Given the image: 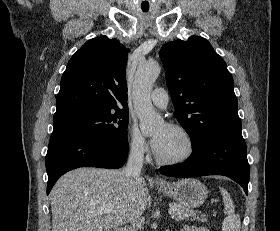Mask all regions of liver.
<instances>
[{
	"mask_svg": "<svg viewBox=\"0 0 280 231\" xmlns=\"http://www.w3.org/2000/svg\"><path fill=\"white\" fill-rule=\"evenodd\" d=\"M52 231H110L138 221L151 203L144 177H126L123 169L78 167L62 175L51 193ZM111 207V211H95Z\"/></svg>",
	"mask_w": 280,
	"mask_h": 231,
	"instance_id": "6515ba94",
	"label": "liver"
}]
</instances>
